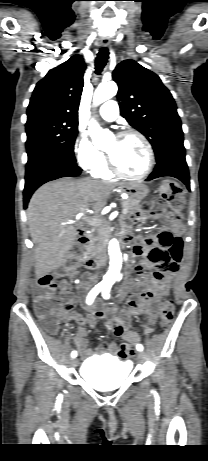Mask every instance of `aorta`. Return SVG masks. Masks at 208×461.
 Segmentation results:
<instances>
[{
    "label": "aorta",
    "instance_id": "obj_1",
    "mask_svg": "<svg viewBox=\"0 0 208 461\" xmlns=\"http://www.w3.org/2000/svg\"><path fill=\"white\" fill-rule=\"evenodd\" d=\"M118 87L115 82L102 83L100 84L94 92L93 104L98 106L105 101L111 99L117 94ZM88 133L92 139L94 146L98 149H102L109 137V132L103 130L96 120H92L89 123ZM109 253V270L104 276V280L108 282H114L120 274L122 267V253L120 251L119 242L117 239L113 238L108 247Z\"/></svg>",
    "mask_w": 208,
    "mask_h": 461
}]
</instances>
